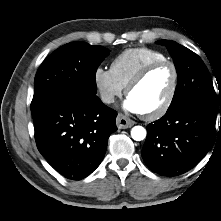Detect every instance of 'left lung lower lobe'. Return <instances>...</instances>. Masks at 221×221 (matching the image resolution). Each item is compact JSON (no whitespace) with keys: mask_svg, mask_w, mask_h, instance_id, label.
I'll list each match as a JSON object with an SVG mask.
<instances>
[{"mask_svg":"<svg viewBox=\"0 0 221 221\" xmlns=\"http://www.w3.org/2000/svg\"><path fill=\"white\" fill-rule=\"evenodd\" d=\"M216 111L198 101L169 108L147 127L145 164L163 176L181 175L195 167L214 144Z\"/></svg>","mask_w":221,"mask_h":221,"instance_id":"left-lung-lower-lobe-1","label":"left lung lower lobe"}]
</instances>
